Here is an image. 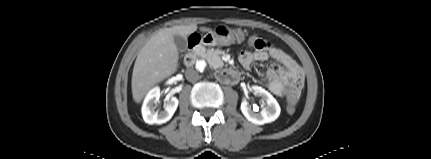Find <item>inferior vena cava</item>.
Wrapping results in <instances>:
<instances>
[{
	"instance_id": "1",
	"label": "inferior vena cava",
	"mask_w": 431,
	"mask_h": 159,
	"mask_svg": "<svg viewBox=\"0 0 431 159\" xmlns=\"http://www.w3.org/2000/svg\"><path fill=\"white\" fill-rule=\"evenodd\" d=\"M186 79L190 82H196L199 80V74L194 68H189L185 73Z\"/></svg>"
}]
</instances>
